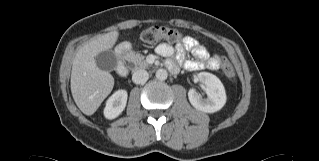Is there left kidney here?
Instances as JSON below:
<instances>
[{"mask_svg":"<svg viewBox=\"0 0 319 161\" xmlns=\"http://www.w3.org/2000/svg\"><path fill=\"white\" fill-rule=\"evenodd\" d=\"M194 77L202 83L207 98H202L195 89H190L188 98L192 106L206 113H214L222 109L226 103V93L220 79L208 72H200Z\"/></svg>","mask_w":319,"mask_h":161,"instance_id":"1","label":"left kidney"}]
</instances>
